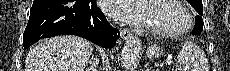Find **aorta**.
<instances>
[{
  "label": "aorta",
  "mask_w": 230,
  "mask_h": 71,
  "mask_svg": "<svg viewBox=\"0 0 230 71\" xmlns=\"http://www.w3.org/2000/svg\"><path fill=\"white\" fill-rule=\"evenodd\" d=\"M140 57L141 41L139 37L131 36L126 40L122 49L120 59L121 67L125 71H133L137 67Z\"/></svg>",
  "instance_id": "aorta-1"
}]
</instances>
